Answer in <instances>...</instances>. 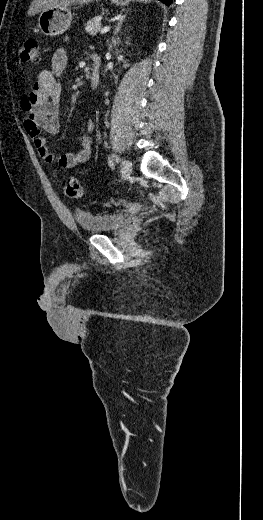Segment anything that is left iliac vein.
Wrapping results in <instances>:
<instances>
[{"label": "left iliac vein", "instance_id": "obj_1", "mask_svg": "<svg viewBox=\"0 0 263 520\" xmlns=\"http://www.w3.org/2000/svg\"><path fill=\"white\" fill-rule=\"evenodd\" d=\"M120 168H121L122 178L128 179L132 173L131 163L128 160L123 159L121 162Z\"/></svg>", "mask_w": 263, "mask_h": 520}]
</instances>
